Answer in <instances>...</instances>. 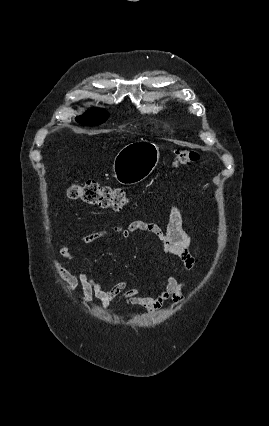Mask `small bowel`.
<instances>
[{
  "label": "small bowel",
  "mask_w": 269,
  "mask_h": 426,
  "mask_svg": "<svg viewBox=\"0 0 269 426\" xmlns=\"http://www.w3.org/2000/svg\"><path fill=\"white\" fill-rule=\"evenodd\" d=\"M110 231L122 239H129L134 233H144L159 239L162 242V252L166 256L165 264L169 271L171 270V256L178 258L190 273L196 267L195 257L190 252L191 239L182 229V215L175 206L169 211L165 228L153 222L135 220L125 227L114 226ZM110 231L91 233L83 238V244L90 245L107 236ZM60 254L68 260L76 259L67 245L61 247ZM53 268L64 281L66 289L73 290L79 286L82 288L81 301L83 303H89L96 298L103 309H108L115 300H125L132 306L155 313L168 301H172V305L175 306L182 304L185 299L184 291L187 284L179 282L171 273L166 279L164 289L156 296H149L145 295L141 289L128 288L127 280L119 281L110 289H106L102 279L93 277L90 271L80 265L76 273H72L57 261L53 262Z\"/></svg>",
  "instance_id": "small-bowel-1"
}]
</instances>
